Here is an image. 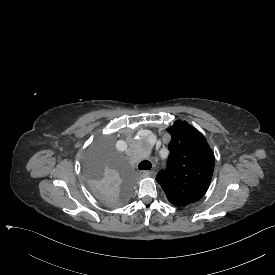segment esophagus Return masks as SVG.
I'll return each mask as SVG.
<instances>
[{"mask_svg": "<svg viewBox=\"0 0 275 275\" xmlns=\"http://www.w3.org/2000/svg\"><path fill=\"white\" fill-rule=\"evenodd\" d=\"M139 175H140L141 177H148V176L151 175V172L148 171V170H141V171H139Z\"/></svg>", "mask_w": 275, "mask_h": 275, "instance_id": "1", "label": "esophagus"}]
</instances>
